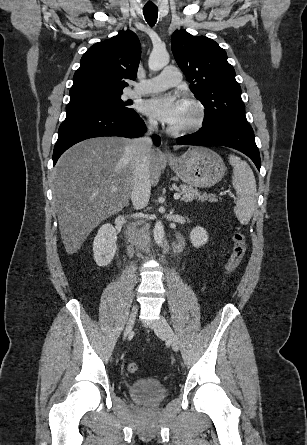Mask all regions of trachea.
Instances as JSON below:
<instances>
[{
  "label": "trachea",
  "mask_w": 307,
  "mask_h": 445,
  "mask_svg": "<svg viewBox=\"0 0 307 445\" xmlns=\"http://www.w3.org/2000/svg\"><path fill=\"white\" fill-rule=\"evenodd\" d=\"M143 14L149 25H154L157 21L158 8L156 6H146L143 8Z\"/></svg>",
  "instance_id": "obj_1"
}]
</instances>
